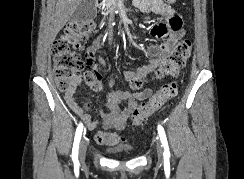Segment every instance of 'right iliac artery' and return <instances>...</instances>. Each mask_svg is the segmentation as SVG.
<instances>
[{
	"label": "right iliac artery",
	"mask_w": 244,
	"mask_h": 179,
	"mask_svg": "<svg viewBox=\"0 0 244 179\" xmlns=\"http://www.w3.org/2000/svg\"><path fill=\"white\" fill-rule=\"evenodd\" d=\"M83 131V124L80 123L76 129L74 143H73V149H72V160L77 161L78 160V149H79V142L81 139Z\"/></svg>",
	"instance_id": "obj_1"
}]
</instances>
